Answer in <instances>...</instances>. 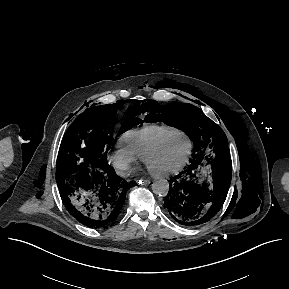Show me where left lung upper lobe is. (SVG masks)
Returning a JSON list of instances; mask_svg holds the SVG:
<instances>
[{"mask_svg": "<svg viewBox=\"0 0 289 289\" xmlns=\"http://www.w3.org/2000/svg\"><path fill=\"white\" fill-rule=\"evenodd\" d=\"M141 112L147 113V122L162 121L181 127L194 143V160L215 164L219 168L231 167L225 133L197 107L177 102L160 106L157 101L150 100L141 106Z\"/></svg>", "mask_w": 289, "mask_h": 289, "instance_id": "1", "label": "left lung upper lobe"}]
</instances>
